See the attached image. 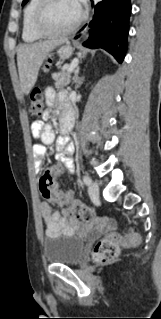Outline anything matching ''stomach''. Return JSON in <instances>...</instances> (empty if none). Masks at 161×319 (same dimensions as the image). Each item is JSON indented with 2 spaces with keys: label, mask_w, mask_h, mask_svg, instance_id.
I'll return each mask as SVG.
<instances>
[{
  "label": "stomach",
  "mask_w": 161,
  "mask_h": 319,
  "mask_svg": "<svg viewBox=\"0 0 161 319\" xmlns=\"http://www.w3.org/2000/svg\"><path fill=\"white\" fill-rule=\"evenodd\" d=\"M73 49L69 44H66L59 48L57 51L60 58L65 59L72 55Z\"/></svg>",
  "instance_id": "1"
}]
</instances>
